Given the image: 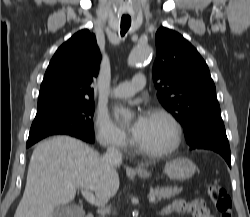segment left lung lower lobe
<instances>
[{"label":"left lung lower lobe","mask_w":250,"mask_h":217,"mask_svg":"<svg viewBox=\"0 0 250 217\" xmlns=\"http://www.w3.org/2000/svg\"><path fill=\"white\" fill-rule=\"evenodd\" d=\"M190 149H208L219 153L231 167V154L222 119H214L187 138Z\"/></svg>","instance_id":"0a47b994"}]
</instances>
